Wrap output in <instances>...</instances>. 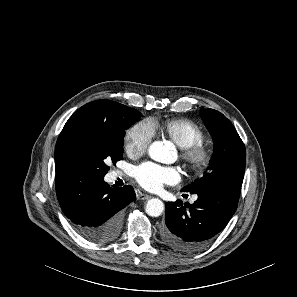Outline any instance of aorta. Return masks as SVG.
<instances>
[{"instance_id": "1", "label": "aorta", "mask_w": 297, "mask_h": 297, "mask_svg": "<svg viewBox=\"0 0 297 297\" xmlns=\"http://www.w3.org/2000/svg\"><path fill=\"white\" fill-rule=\"evenodd\" d=\"M148 154L151 159L161 162L167 163L171 154V148L168 144L160 141L153 142L149 149ZM164 210L163 202L158 198H152L148 200L145 211L151 217H158L162 214Z\"/></svg>"}]
</instances>
